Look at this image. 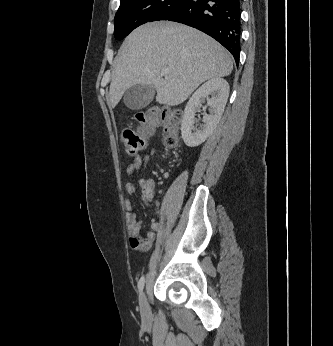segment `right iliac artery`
<instances>
[{
  "label": "right iliac artery",
  "instance_id": "1",
  "mask_svg": "<svg viewBox=\"0 0 333 346\" xmlns=\"http://www.w3.org/2000/svg\"><path fill=\"white\" fill-rule=\"evenodd\" d=\"M144 283H145V277L142 276L138 282V289L140 292H142V290L144 288Z\"/></svg>",
  "mask_w": 333,
  "mask_h": 346
}]
</instances>
